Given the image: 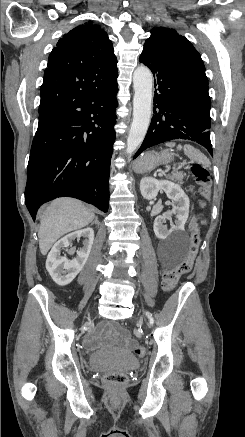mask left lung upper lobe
Returning <instances> with one entry per match:
<instances>
[{
	"instance_id": "left-lung-upper-lobe-1",
	"label": "left lung upper lobe",
	"mask_w": 245,
	"mask_h": 437,
	"mask_svg": "<svg viewBox=\"0 0 245 437\" xmlns=\"http://www.w3.org/2000/svg\"><path fill=\"white\" fill-rule=\"evenodd\" d=\"M143 52L150 53L163 62L189 72L208 83L200 54L174 29L153 28L151 37L144 44Z\"/></svg>"
}]
</instances>
